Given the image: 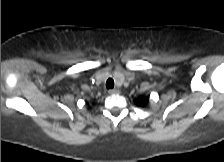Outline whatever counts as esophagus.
<instances>
[{"label": "esophagus", "instance_id": "esophagus-1", "mask_svg": "<svg viewBox=\"0 0 224 162\" xmlns=\"http://www.w3.org/2000/svg\"><path fill=\"white\" fill-rule=\"evenodd\" d=\"M108 93L109 94H118L119 93V90H117V89H110L109 91H108Z\"/></svg>", "mask_w": 224, "mask_h": 162}]
</instances>
